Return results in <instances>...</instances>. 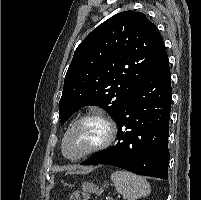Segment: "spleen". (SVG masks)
Returning a JSON list of instances; mask_svg holds the SVG:
<instances>
[{
  "label": "spleen",
  "mask_w": 201,
  "mask_h": 200,
  "mask_svg": "<svg viewBox=\"0 0 201 200\" xmlns=\"http://www.w3.org/2000/svg\"><path fill=\"white\" fill-rule=\"evenodd\" d=\"M111 179L118 193L126 196L128 200L146 197L151 192L149 183L143 177L128 171H115L112 173Z\"/></svg>",
  "instance_id": "3e777b00"
}]
</instances>
